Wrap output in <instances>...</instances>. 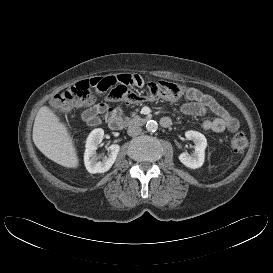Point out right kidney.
<instances>
[{
  "label": "right kidney",
  "mask_w": 273,
  "mask_h": 273,
  "mask_svg": "<svg viewBox=\"0 0 273 273\" xmlns=\"http://www.w3.org/2000/svg\"><path fill=\"white\" fill-rule=\"evenodd\" d=\"M104 136V130L102 128L94 129L86 140V150L84 153V163L89 173H104L107 172L114 164L120 146L118 144H112L109 146V155L104 157L102 161L99 160L96 150L101 143Z\"/></svg>",
  "instance_id": "1"
}]
</instances>
